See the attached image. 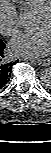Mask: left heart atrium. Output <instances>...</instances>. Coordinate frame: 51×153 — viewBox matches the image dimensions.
I'll use <instances>...</instances> for the list:
<instances>
[{
  "label": "left heart atrium",
  "mask_w": 51,
  "mask_h": 153,
  "mask_svg": "<svg viewBox=\"0 0 51 153\" xmlns=\"http://www.w3.org/2000/svg\"><path fill=\"white\" fill-rule=\"evenodd\" d=\"M10 50L25 57H41L51 50V35L48 30L23 33L16 36L9 43Z\"/></svg>",
  "instance_id": "39dd6f15"
}]
</instances>
